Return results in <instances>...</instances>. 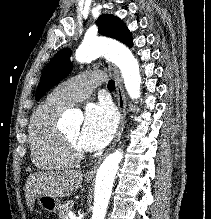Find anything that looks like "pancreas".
<instances>
[{
    "label": "pancreas",
    "instance_id": "1",
    "mask_svg": "<svg viewBox=\"0 0 211 219\" xmlns=\"http://www.w3.org/2000/svg\"><path fill=\"white\" fill-rule=\"evenodd\" d=\"M72 202L66 201L59 210V219H65L66 216H68V211L71 207Z\"/></svg>",
    "mask_w": 211,
    "mask_h": 219
}]
</instances>
